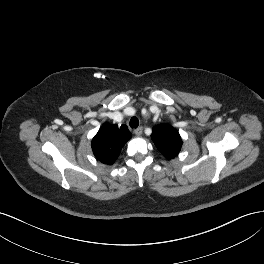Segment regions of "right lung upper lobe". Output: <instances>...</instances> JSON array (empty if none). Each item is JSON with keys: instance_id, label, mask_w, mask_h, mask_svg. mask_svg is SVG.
I'll return each mask as SVG.
<instances>
[{"instance_id": "obj_1", "label": "right lung upper lobe", "mask_w": 264, "mask_h": 264, "mask_svg": "<svg viewBox=\"0 0 264 264\" xmlns=\"http://www.w3.org/2000/svg\"><path fill=\"white\" fill-rule=\"evenodd\" d=\"M130 138L131 133L127 126L118 128L116 125L104 123L92 140L93 153L100 162L111 165Z\"/></svg>"}]
</instances>
